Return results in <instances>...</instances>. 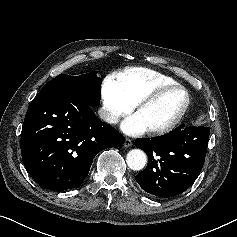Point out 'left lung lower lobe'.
I'll use <instances>...</instances> for the list:
<instances>
[{
  "label": "left lung lower lobe",
  "instance_id": "obj_1",
  "mask_svg": "<svg viewBox=\"0 0 237 237\" xmlns=\"http://www.w3.org/2000/svg\"><path fill=\"white\" fill-rule=\"evenodd\" d=\"M210 127L180 125L151 139H137L135 146L148 156L146 169L135 177L152 195L169 198L186 191L199 176L205 161Z\"/></svg>",
  "mask_w": 237,
  "mask_h": 237
}]
</instances>
